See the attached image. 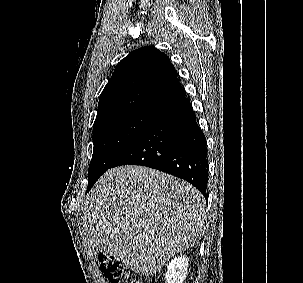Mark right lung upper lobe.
Listing matches in <instances>:
<instances>
[{"mask_svg":"<svg viewBox=\"0 0 303 283\" xmlns=\"http://www.w3.org/2000/svg\"><path fill=\"white\" fill-rule=\"evenodd\" d=\"M184 98L167 55L154 47H141L117 64L100 95L95 122L126 113L157 116Z\"/></svg>","mask_w":303,"mask_h":283,"instance_id":"right-lung-upper-lobe-1","label":"right lung upper lobe"}]
</instances>
